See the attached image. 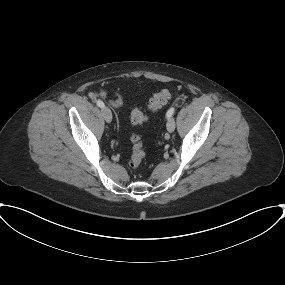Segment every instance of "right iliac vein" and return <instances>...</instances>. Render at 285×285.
<instances>
[{
	"instance_id": "obj_1",
	"label": "right iliac vein",
	"mask_w": 285,
	"mask_h": 285,
	"mask_svg": "<svg viewBox=\"0 0 285 285\" xmlns=\"http://www.w3.org/2000/svg\"><path fill=\"white\" fill-rule=\"evenodd\" d=\"M101 111H102V115H103L105 121L107 123H110L112 121L111 110L108 107H103Z\"/></svg>"
}]
</instances>
